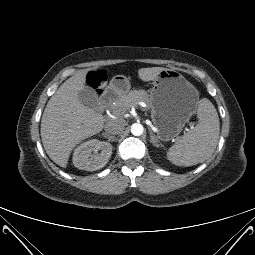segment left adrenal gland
<instances>
[{
  "mask_svg": "<svg viewBox=\"0 0 255 255\" xmlns=\"http://www.w3.org/2000/svg\"><path fill=\"white\" fill-rule=\"evenodd\" d=\"M149 132H150V138H151L152 144H153L154 146L158 147L159 145H158L157 139L155 138V136L153 135V133L151 132V130H149Z\"/></svg>",
  "mask_w": 255,
  "mask_h": 255,
  "instance_id": "left-adrenal-gland-1",
  "label": "left adrenal gland"
}]
</instances>
